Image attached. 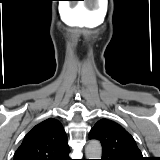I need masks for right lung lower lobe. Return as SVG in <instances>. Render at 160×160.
<instances>
[{
  "instance_id": "98d812e1",
  "label": "right lung lower lobe",
  "mask_w": 160,
  "mask_h": 160,
  "mask_svg": "<svg viewBox=\"0 0 160 160\" xmlns=\"http://www.w3.org/2000/svg\"><path fill=\"white\" fill-rule=\"evenodd\" d=\"M65 160H71V159L68 157V158H65Z\"/></svg>"
}]
</instances>
